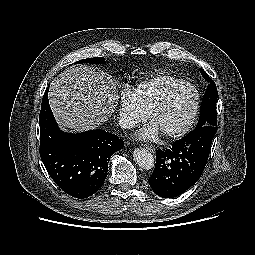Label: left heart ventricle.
I'll return each mask as SVG.
<instances>
[{"label":"left heart ventricle","instance_id":"1","mask_svg":"<svg viewBox=\"0 0 255 255\" xmlns=\"http://www.w3.org/2000/svg\"><path fill=\"white\" fill-rule=\"evenodd\" d=\"M195 103V92L186 89L177 95L170 104L154 118L153 122L161 133L176 130L190 118Z\"/></svg>","mask_w":255,"mask_h":255}]
</instances>
